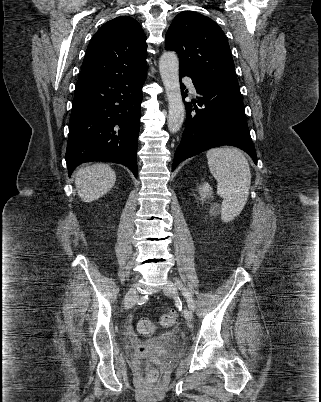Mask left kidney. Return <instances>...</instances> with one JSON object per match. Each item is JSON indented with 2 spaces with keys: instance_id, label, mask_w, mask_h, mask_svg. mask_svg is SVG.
<instances>
[{
  "instance_id": "left-kidney-1",
  "label": "left kidney",
  "mask_w": 321,
  "mask_h": 402,
  "mask_svg": "<svg viewBox=\"0 0 321 402\" xmlns=\"http://www.w3.org/2000/svg\"><path fill=\"white\" fill-rule=\"evenodd\" d=\"M199 193H200L202 199L209 198L212 195V188L208 183H204L199 188Z\"/></svg>"
}]
</instances>
